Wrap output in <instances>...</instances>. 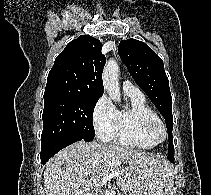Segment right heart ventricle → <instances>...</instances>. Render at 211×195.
Returning <instances> with one entry per match:
<instances>
[{
  "label": "right heart ventricle",
  "instance_id": "1",
  "mask_svg": "<svg viewBox=\"0 0 211 195\" xmlns=\"http://www.w3.org/2000/svg\"><path fill=\"white\" fill-rule=\"evenodd\" d=\"M129 106L116 110L115 125L111 140L127 148L149 150L157 143L143 132V123L148 118L158 117L143 94H126Z\"/></svg>",
  "mask_w": 211,
  "mask_h": 195
}]
</instances>
